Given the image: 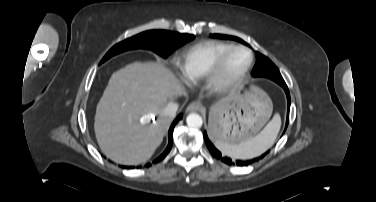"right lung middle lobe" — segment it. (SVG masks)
<instances>
[{
  "instance_id": "1",
  "label": "right lung middle lobe",
  "mask_w": 376,
  "mask_h": 202,
  "mask_svg": "<svg viewBox=\"0 0 376 202\" xmlns=\"http://www.w3.org/2000/svg\"><path fill=\"white\" fill-rule=\"evenodd\" d=\"M194 37V35L180 34L166 30L146 31L113 46L100 64L118 53L138 48L150 49L166 58L177 48L193 40Z\"/></svg>"
}]
</instances>
